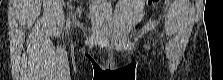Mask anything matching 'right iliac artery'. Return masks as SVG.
I'll return each instance as SVG.
<instances>
[{"instance_id": "82829eb1", "label": "right iliac artery", "mask_w": 223, "mask_h": 80, "mask_svg": "<svg viewBox=\"0 0 223 80\" xmlns=\"http://www.w3.org/2000/svg\"><path fill=\"white\" fill-rule=\"evenodd\" d=\"M70 23H71V20H70V17H69L68 20H67V24H66L67 33H68L69 29H70Z\"/></svg>"}]
</instances>
